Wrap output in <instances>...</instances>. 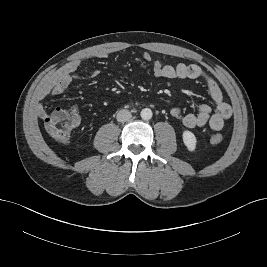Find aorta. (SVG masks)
<instances>
[{"mask_svg":"<svg viewBox=\"0 0 267 267\" xmlns=\"http://www.w3.org/2000/svg\"><path fill=\"white\" fill-rule=\"evenodd\" d=\"M152 111H151V109H149V108H144V109H142V111H141V113H140V116H141V118L142 119H144V120H149V119H151L152 118Z\"/></svg>","mask_w":267,"mask_h":267,"instance_id":"1","label":"aorta"}]
</instances>
